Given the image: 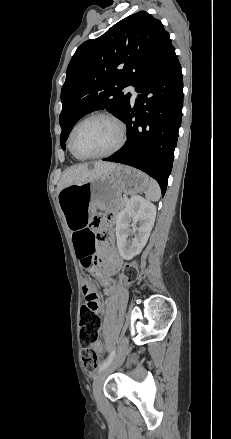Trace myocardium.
I'll return each instance as SVG.
<instances>
[{
	"label": "myocardium",
	"mask_w": 231,
	"mask_h": 439,
	"mask_svg": "<svg viewBox=\"0 0 231 439\" xmlns=\"http://www.w3.org/2000/svg\"><path fill=\"white\" fill-rule=\"evenodd\" d=\"M93 118H105V119H108L109 121H111L117 127L118 140H117L116 144L111 149H109L108 151H105L103 153L92 154V155H80L75 151L74 146H73L74 134L80 125H82L84 122H86L90 119H93ZM125 141H126V128H125L123 122L116 115H114L111 112L97 111V112H93V113L85 116L84 118L79 120L74 125V127L72 128L70 135H69L68 145H69L70 151L72 152V154L75 157H77L78 159L87 160V159H100V158L109 157V156L115 154L116 152H118L123 147Z\"/></svg>",
	"instance_id": "myocardium-1"
}]
</instances>
